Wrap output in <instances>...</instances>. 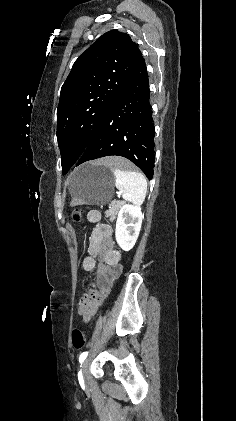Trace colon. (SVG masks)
Returning <instances> with one entry per match:
<instances>
[{
	"mask_svg": "<svg viewBox=\"0 0 236 421\" xmlns=\"http://www.w3.org/2000/svg\"><path fill=\"white\" fill-rule=\"evenodd\" d=\"M83 210L81 207H75L71 210L70 217L73 221L78 222L81 220ZM86 343V335L80 329H74L71 333V344L75 349H82Z\"/></svg>",
	"mask_w": 236,
	"mask_h": 421,
	"instance_id": "5ec220e1",
	"label": "colon"
}]
</instances>
